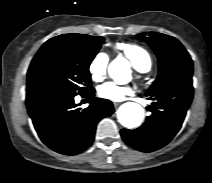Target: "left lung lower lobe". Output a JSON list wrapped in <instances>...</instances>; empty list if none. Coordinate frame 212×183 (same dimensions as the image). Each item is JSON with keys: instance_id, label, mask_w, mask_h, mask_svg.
I'll use <instances>...</instances> for the list:
<instances>
[{"instance_id": "obj_1", "label": "left lung lower lobe", "mask_w": 212, "mask_h": 183, "mask_svg": "<svg viewBox=\"0 0 212 183\" xmlns=\"http://www.w3.org/2000/svg\"><path fill=\"white\" fill-rule=\"evenodd\" d=\"M146 96L156 100L147 109L151 115L135 130H121L123 140L131 147L152 152L164 147L180 130L193 98L192 79L164 85Z\"/></svg>"}]
</instances>
